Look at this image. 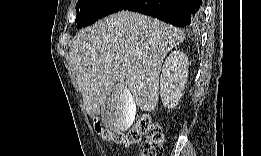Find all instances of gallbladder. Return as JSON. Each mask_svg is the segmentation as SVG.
I'll list each match as a JSON object with an SVG mask.
<instances>
[{"label":"gallbladder","mask_w":261,"mask_h":156,"mask_svg":"<svg viewBox=\"0 0 261 156\" xmlns=\"http://www.w3.org/2000/svg\"><path fill=\"white\" fill-rule=\"evenodd\" d=\"M116 86L125 87L123 84ZM108 93L101 111V120L105 127L114 131L129 129L134 122L136 114V101L132 92L126 88H115Z\"/></svg>","instance_id":"bac80fb5"}]
</instances>
